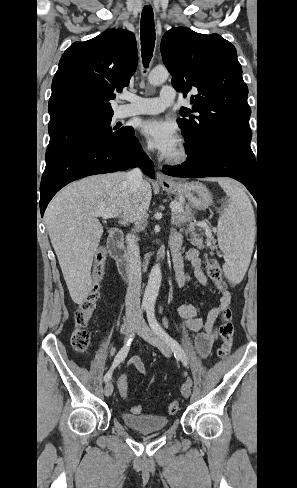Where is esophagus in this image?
Segmentation results:
<instances>
[{
    "mask_svg": "<svg viewBox=\"0 0 297 488\" xmlns=\"http://www.w3.org/2000/svg\"><path fill=\"white\" fill-rule=\"evenodd\" d=\"M156 178L160 184H171V180L159 171L156 173Z\"/></svg>",
    "mask_w": 297,
    "mask_h": 488,
    "instance_id": "34e87169",
    "label": "esophagus"
}]
</instances>
